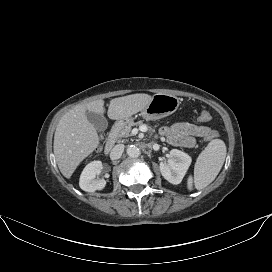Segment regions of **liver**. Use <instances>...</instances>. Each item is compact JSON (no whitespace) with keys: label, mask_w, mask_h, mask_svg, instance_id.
I'll return each mask as SVG.
<instances>
[{"label":"liver","mask_w":272,"mask_h":272,"mask_svg":"<svg viewBox=\"0 0 272 272\" xmlns=\"http://www.w3.org/2000/svg\"><path fill=\"white\" fill-rule=\"evenodd\" d=\"M151 99L152 96L144 93L112 99L107 115L113 120L129 118L143 110ZM87 111L103 114L104 101L95 100L75 106L61 117L56 127L54 154L61 173L68 179L99 145L98 133L88 121Z\"/></svg>","instance_id":"1"}]
</instances>
